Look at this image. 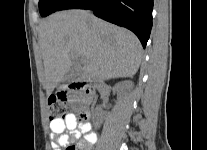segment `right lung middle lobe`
Here are the masks:
<instances>
[{
	"mask_svg": "<svg viewBox=\"0 0 207 150\" xmlns=\"http://www.w3.org/2000/svg\"><path fill=\"white\" fill-rule=\"evenodd\" d=\"M66 0H39V11L42 17L58 11Z\"/></svg>",
	"mask_w": 207,
	"mask_h": 150,
	"instance_id": "1",
	"label": "right lung middle lobe"
}]
</instances>
